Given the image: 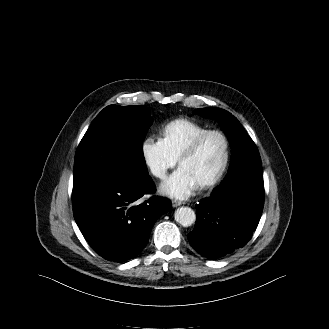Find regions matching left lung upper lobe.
Segmentation results:
<instances>
[{"instance_id":"5c2ea615","label":"left lung upper lobe","mask_w":329,"mask_h":329,"mask_svg":"<svg viewBox=\"0 0 329 329\" xmlns=\"http://www.w3.org/2000/svg\"><path fill=\"white\" fill-rule=\"evenodd\" d=\"M193 114H199L207 118L218 119L222 128L224 129L229 141L232 145V161L228 170L231 173L233 167L238 162H261L257 147L251 137L240 122L231 113L220 108L207 107L203 109H196ZM227 174V175H228ZM221 186L215 189L212 194L217 198L221 195Z\"/></svg>"}]
</instances>
